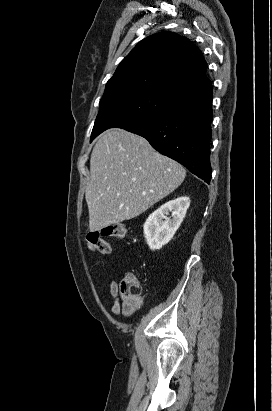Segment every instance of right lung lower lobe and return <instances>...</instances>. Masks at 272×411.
Here are the masks:
<instances>
[{
  "mask_svg": "<svg viewBox=\"0 0 272 411\" xmlns=\"http://www.w3.org/2000/svg\"><path fill=\"white\" fill-rule=\"evenodd\" d=\"M212 93L125 130L146 138L151 146L210 183Z\"/></svg>",
  "mask_w": 272,
  "mask_h": 411,
  "instance_id": "obj_1",
  "label": "right lung lower lobe"
}]
</instances>
